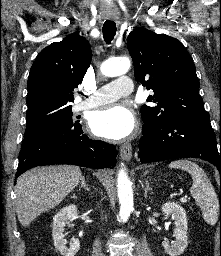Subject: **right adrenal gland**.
Masks as SVG:
<instances>
[{"instance_id":"1","label":"right adrenal gland","mask_w":221,"mask_h":256,"mask_svg":"<svg viewBox=\"0 0 221 256\" xmlns=\"http://www.w3.org/2000/svg\"><path fill=\"white\" fill-rule=\"evenodd\" d=\"M81 188H85L87 191H90L88 185L85 182V178L84 177L81 178V185L79 186V189H81Z\"/></svg>"}]
</instances>
